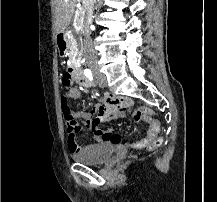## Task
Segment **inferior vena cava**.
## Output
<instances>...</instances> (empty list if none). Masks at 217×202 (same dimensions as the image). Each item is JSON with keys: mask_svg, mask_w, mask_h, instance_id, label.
Returning a JSON list of instances; mask_svg holds the SVG:
<instances>
[{"mask_svg": "<svg viewBox=\"0 0 217 202\" xmlns=\"http://www.w3.org/2000/svg\"><path fill=\"white\" fill-rule=\"evenodd\" d=\"M96 0H82V4L85 10V20L84 26L87 28L86 32L83 30V46H84V54L86 58H97L96 50H94V46L91 40V32L89 30V26L91 24V16L94 8Z\"/></svg>", "mask_w": 217, "mask_h": 202, "instance_id": "1", "label": "inferior vena cava"}]
</instances>
